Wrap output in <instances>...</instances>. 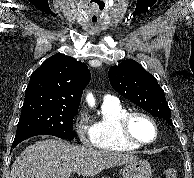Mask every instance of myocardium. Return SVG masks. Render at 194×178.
I'll use <instances>...</instances> for the list:
<instances>
[{"label": "myocardium", "instance_id": "1", "mask_svg": "<svg viewBox=\"0 0 194 178\" xmlns=\"http://www.w3.org/2000/svg\"><path fill=\"white\" fill-rule=\"evenodd\" d=\"M135 117H142V118L148 120L152 124V126L155 130V136L151 141L142 142V141H139L138 139H136L132 135V133L130 131V125H131L132 120ZM118 130H119V134H120V137L122 138V140H124L125 142H127L129 144L137 146V147L151 145L154 142H156L159 138V127H158L156 120L150 114L142 112V111H128L125 115H123L120 118V120L118 122Z\"/></svg>", "mask_w": 194, "mask_h": 178}]
</instances>
